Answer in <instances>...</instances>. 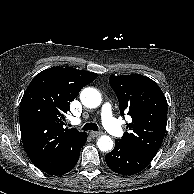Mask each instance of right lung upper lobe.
Masks as SVG:
<instances>
[{"label": "right lung upper lobe", "mask_w": 194, "mask_h": 194, "mask_svg": "<svg viewBox=\"0 0 194 194\" xmlns=\"http://www.w3.org/2000/svg\"><path fill=\"white\" fill-rule=\"evenodd\" d=\"M98 74L59 66L38 73L27 87L19 111L24 149L40 170L64 159L85 132L64 128L65 113L80 90Z\"/></svg>", "instance_id": "1"}]
</instances>
